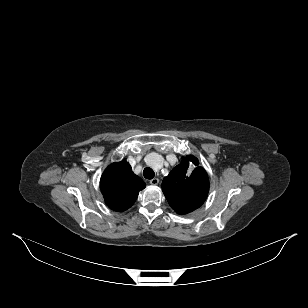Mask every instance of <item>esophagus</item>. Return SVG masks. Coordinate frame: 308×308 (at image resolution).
<instances>
[{"instance_id":"34e87169","label":"esophagus","mask_w":308,"mask_h":308,"mask_svg":"<svg viewBox=\"0 0 308 308\" xmlns=\"http://www.w3.org/2000/svg\"><path fill=\"white\" fill-rule=\"evenodd\" d=\"M158 183H159V179L158 178H153V179L150 180V184L151 185H158Z\"/></svg>"}]
</instances>
